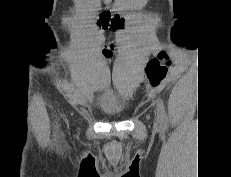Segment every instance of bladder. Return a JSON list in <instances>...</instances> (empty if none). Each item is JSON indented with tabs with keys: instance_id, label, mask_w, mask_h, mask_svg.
Returning a JSON list of instances; mask_svg holds the SVG:
<instances>
[{
	"instance_id": "31cf9c89",
	"label": "bladder",
	"mask_w": 231,
	"mask_h": 177,
	"mask_svg": "<svg viewBox=\"0 0 231 177\" xmlns=\"http://www.w3.org/2000/svg\"><path fill=\"white\" fill-rule=\"evenodd\" d=\"M98 107L109 116H121L124 105L120 98L110 91H103L97 96Z\"/></svg>"
}]
</instances>
